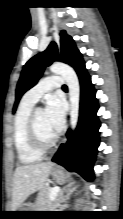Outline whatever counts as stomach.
<instances>
[{
	"instance_id": "stomach-1",
	"label": "stomach",
	"mask_w": 123,
	"mask_h": 219,
	"mask_svg": "<svg viewBox=\"0 0 123 219\" xmlns=\"http://www.w3.org/2000/svg\"><path fill=\"white\" fill-rule=\"evenodd\" d=\"M51 174L58 183H62L65 181L66 175L64 171L61 170L60 168H53L51 171ZM33 209H35V204L31 202H27V203H24L21 206V210H18V211H34Z\"/></svg>"
}]
</instances>
